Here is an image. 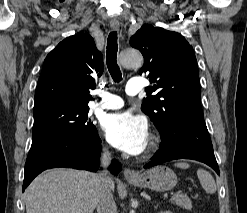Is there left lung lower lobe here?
I'll return each instance as SVG.
<instances>
[{
    "label": "left lung lower lobe",
    "instance_id": "obj_1",
    "mask_svg": "<svg viewBox=\"0 0 247 213\" xmlns=\"http://www.w3.org/2000/svg\"><path fill=\"white\" fill-rule=\"evenodd\" d=\"M161 136L160 149L144 168L175 159H193L209 165L219 174V167L204 120H177L173 123L171 130Z\"/></svg>",
    "mask_w": 247,
    "mask_h": 213
}]
</instances>
